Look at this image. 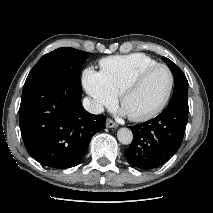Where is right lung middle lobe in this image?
<instances>
[{"instance_id": "1", "label": "right lung middle lobe", "mask_w": 213, "mask_h": 213, "mask_svg": "<svg viewBox=\"0 0 213 213\" xmlns=\"http://www.w3.org/2000/svg\"><path fill=\"white\" fill-rule=\"evenodd\" d=\"M90 53L69 47L58 48L45 54L32 68L29 75L39 72H56L80 85V69ZM28 75V76H29Z\"/></svg>"}]
</instances>
